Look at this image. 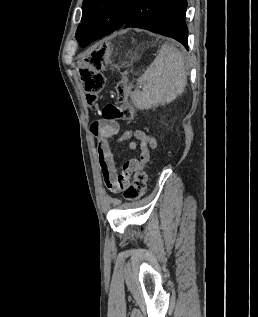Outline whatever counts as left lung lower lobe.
<instances>
[{"label":"left lung lower lobe","instance_id":"left-lung-lower-lobe-1","mask_svg":"<svg viewBox=\"0 0 258 317\" xmlns=\"http://www.w3.org/2000/svg\"><path fill=\"white\" fill-rule=\"evenodd\" d=\"M186 10L187 0H133L121 27L140 28L164 35L179 41L188 49ZM117 29L98 27L85 35L79 43L86 46Z\"/></svg>","mask_w":258,"mask_h":317}]
</instances>
